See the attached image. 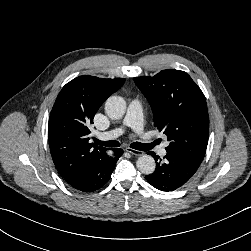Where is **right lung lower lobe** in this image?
Instances as JSON below:
<instances>
[{
  "label": "right lung lower lobe",
  "instance_id": "obj_1",
  "mask_svg": "<svg viewBox=\"0 0 251 251\" xmlns=\"http://www.w3.org/2000/svg\"><path fill=\"white\" fill-rule=\"evenodd\" d=\"M122 153V149H114L115 157L105 153L104 156L88 162L78 177L68 184L82 192H94L102 188L110 179Z\"/></svg>",
  "mask_w": 251,
  "mask_h": 251
}]
</instances>
